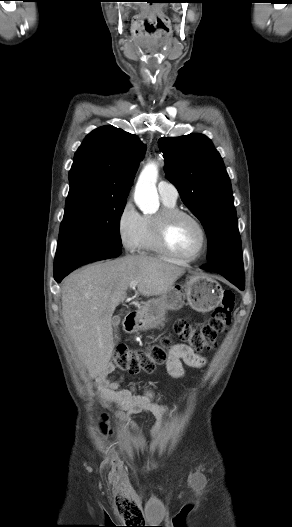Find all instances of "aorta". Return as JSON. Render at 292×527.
Segmentation results:
<instances>
[{"mask_svg": "<svg viewBox=\"0 0 292 527\" xmlns=\"http://www.w3.org/2000/svg\"><path fill=\"white\" fill-rule=\"evenodd\" d=\"M158 164L149 162L141 171L134 194L136 205L144 213H152L158 209L159 197L156 189Z\"/></svg>", "mask_w": 292, "mask_h": 527, "instance_id": "obj_1", "label": "aorta"}]
</instances>
